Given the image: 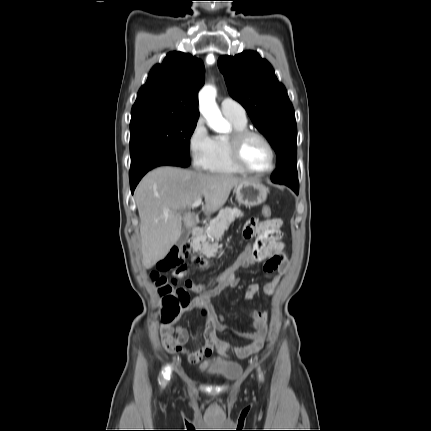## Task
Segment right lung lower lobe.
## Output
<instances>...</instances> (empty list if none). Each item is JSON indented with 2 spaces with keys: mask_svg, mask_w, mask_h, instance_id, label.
Instances as JSON below:
<instances>
[{
  "mask_svg": "<svg viewBox=\"0 0 431 431\" xmlns=\"http://www.w3.org/2000/svg\"><path fill=\"white\" fill-rule=\"evenodd\" d=\"M162 165H172V166H180V167H188L189 164L185 163L182 159L177 157L176 155L161 150V149H152L141 156L131 160L130 166V187L131 192H134V189L140 179L151 169L162 166Z\"/></svg>",
  "mask_w": 431,
  "mask_h": 431,
  "instance_id": "1",
  "label": "right lung lower lobe"
}]
</instances>
